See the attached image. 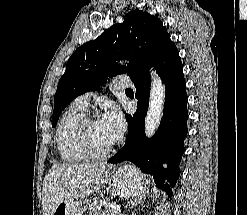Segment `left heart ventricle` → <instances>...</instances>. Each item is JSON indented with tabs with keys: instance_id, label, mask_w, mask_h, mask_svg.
<instances>
[{
	"instance_id": "left-heart-ventricle-1",
	"label": "left heart ventricle",
	"mask_w": 247,
	"mask_h": 215,
	"mask_svg": "<svg viewBox=\"0 0 247 215\" xmlns=\"http://www.w3.org/2000/svg\"><path fill=\"white\" fill-rule=\"evenodd\" d=\"M88 131L92 144L98 149H105L114 143L99 120L91 122Z\"/></svg>"
}]
</instances>
